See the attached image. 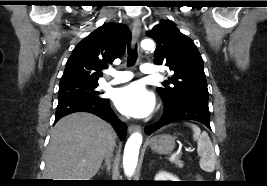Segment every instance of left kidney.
I'll list each match as a JSON object with an SVG mask.
<instances>
[{
	"mask_svg": "<svg viewBox=\"0 0 267 186\" xmlns=\"http://www.w3.org/2000/svg\"><path fill=\"white\" fill-rule=\"evenodd\" d=\"M154 181H179V179L170 173L161 171L156 174Z\"/></svg>",
	"mask_w": 267,
	"mask_h": 186,
	"instance_id": "5707ae66",
	"label": "left kidney"
}]
</instances>
